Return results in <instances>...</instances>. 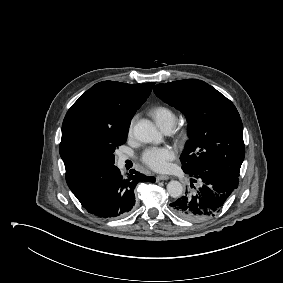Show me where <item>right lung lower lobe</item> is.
I'll use <instances>...</instances> for the list:
<instances>
[{
    "instance_id": "98d812e1",
    "label": "right lung lower lobe",
    "mask_w": 283,
    "mask_h": 283,
    "mask_svg": "<svg viewBox=\"0 0 283 283\" xmlns=\"http://www.w3.org/2000/svg\"><path fill=\"white\" fill-rule=\"evenodd\" d=\"M141 181L155 182V178L135 170L123 176L116 166H112L101 177L73 193L89 213L100 218H117L126 215L133 208L135 187Z\"/></svg>"
}]
</instances>
